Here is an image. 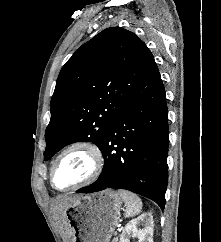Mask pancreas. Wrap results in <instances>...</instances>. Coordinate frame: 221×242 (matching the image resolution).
Instances as JSON below:
<instances>
[{
    "label": "pancreas",
    "mask_w": 221,
    "mask_h": 242,
    "mask_svg": "<svg viewBox=\"0 0 221 242\" xmlns=\"http://www.w3.org/2000/svg\"><path fill=\"white\" fill-rule=\"evenodd\" d=\"M112 242H118V237H114Z\"/></svg>",
    "instance_id": "obj_1"
}]
</instances>
